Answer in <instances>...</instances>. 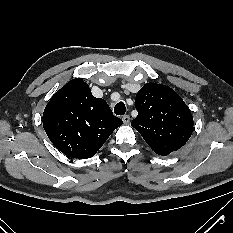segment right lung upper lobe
Instances as JSON below:
<instances>
[{"label":"right lung upper lobe","mask_w":233,"mask_h":233,"mask_svg":"<svg viewBox=\"0 0 233 233\" xmlns=\"http://www.w3.org/2000/svg\"><path fill=\"white\" fill-rule=\"evenodd\" d=\"M122 123L104 99L92 96L81 78L56 92L43 113V127L51 142L65 155L78 159L94 156Z\"/></svg>","instance_id":"right-lung-upper-lobe-1"}]
</instances>
